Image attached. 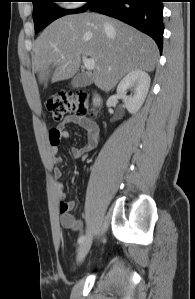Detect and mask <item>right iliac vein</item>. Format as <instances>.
I'll list each match as a JSON object with an SVG mask.
<instances>
[{"label":"right iliac vein","instance_id":"right-iliac-vein-1","mask_svg":"<svg viewBox=\"0 0 195 299\" xmlns=\"http://www.w3.org/2000/svg\"><path fill=\"white\" fill-rule=\"evenodd\" d=\"M92 244V232L90 229L87 230V233L84 237L83 242L81 243L78 250V261H82L85 256L88 254Z\"/></svg>","mask_w":195,"mask_h":299}]
</instances>
